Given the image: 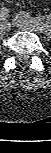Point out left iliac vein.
<instances>
[{
  "label": "left iliac vein",
  "instance_id": "4c4485c4",
  "mask_svg": "<svg viewBox=\"0 0 51 153\" xmlns=\"http://www.w3.org/2000/svg\"><path fill=\"white\" fill-rule=\"evenodd\" d=\"M13 24L15 27L20 29H30L39 33L46 32L48 30L47 27H44L38 23H32L24 19L21 13L17 14L15 19L13 20Z\"/></svg>",
  "mask_w": 51,
  "mask_h": 153
}]
</instances>
